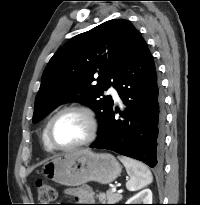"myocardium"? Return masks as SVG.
I'll return each mask as SVG.
<instances>
[{
	"label": "myocardium",
	"instance_id": "obj_1",
	"mask_svg": "<svg viewBox=\"0 0 200 205\" xmlns=\"http://www.w3.org/2000/svg\"><path fill=\"white\" fill-rule=\"evenodd\" d=\"M67 112H78L82 114L87 121L88 132H87L86 137L82 139L81 141L73 145L61 146V145H58L52 138V127L55 121L61 115ZM98 132H99V121H98L95 111L91 107L87 105H83V104H72V105L63 107L51 117L46 127V136H47V140L49 144L51 145L53 149L60 150V151H71V150H75V149L87 146L91 144L97 138Z\"/></svg>",
	"mask_w": 200,
	"mask_h": 205
}]
</instances>
